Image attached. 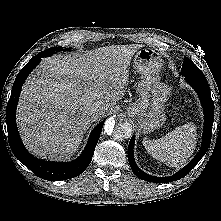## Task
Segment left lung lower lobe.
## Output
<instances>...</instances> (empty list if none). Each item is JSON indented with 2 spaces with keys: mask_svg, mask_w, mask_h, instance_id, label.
Returning <instances> with one entry per match:
<instances>
[{
  "mask_svg": "<svg viewBox=\"0 0 221 221\" xmlns=\"http://www.w3.org/2000/svg\"><path fill=\"white\" fill-rule=\"evenodd\" d=\"M185 79L196 90L204 110V130L200 151L188 165H186L176 174L170 177H155L141 171L135 163L133 155L135 137L132 136L128 146V160L132 171L140 179L154 183H167L179 180L186 176L197 165V163L201 160V158L205 155L206 151L209 148L212 137V125L214 120V103L211 98L208 82L205 76H185Z\"/></svg>",
  "mask_w": 221,
  "mask_h": 221,
  "instance_id": "0a47b994",
  "label": "left lung lower lobe"
}]
</instances>
